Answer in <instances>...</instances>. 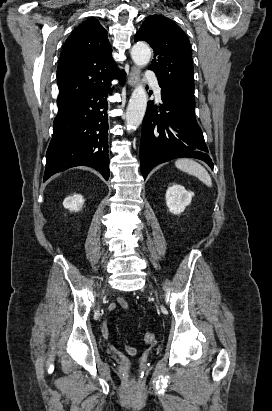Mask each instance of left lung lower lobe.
I'll return each instance as SVG.
<instances>
[{
	"mask_svg": "<svg viewBox=\"0 0 272 411\" xmlns=\"http://www.w3.org/2000/svg\"><path fill=\"white\" fill-rule=\"evenodd\" d=\"M161 99L160 114L150 102L142 123L140 162L144 179L156 165L180 157L203 160L213 169L196 121L195 103L163 88Z\"/></svg>",
	"mask_w": 272,
	"mask_h": 411,
	"instance_id": "1",
	"label": "left lung lower lobe"
}]
</instances>
